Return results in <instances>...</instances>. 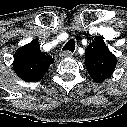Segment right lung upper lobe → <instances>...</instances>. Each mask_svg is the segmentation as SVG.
<instances>
[{"label": "right lung upper lobe", "instance_id": "right-lung-upper-lobe-1", "mask_svg": "<svg viewBox=\"0 0 127 127\" xmlns=\"http://www.w3.org/2000/svg\"><path fill=\"white\" fill-rule=\"evenodd\" d=\"M54 57L43 53L37 40L20 47L14 56L13 70L25 81L35 82L43 78Z\"/></svg>", "mask_w": 127, "mask_h": 127}]
</instances>
